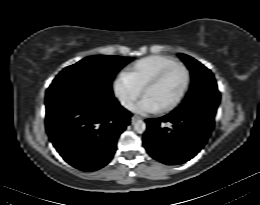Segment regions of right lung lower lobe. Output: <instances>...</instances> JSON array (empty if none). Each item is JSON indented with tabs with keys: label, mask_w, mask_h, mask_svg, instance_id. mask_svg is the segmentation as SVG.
Here are the masks:
<instances>
[{
	"label": "right lung lower lobe",
	"mask_w": 260,
	"mask_h": 205,
	"mask_svg": "<svg viewBox=\"0 0 260 205\" xmlns=\"http://www.w3.org/2000/svg\"><path fill=\"white\" fill-rule=\"evenodd\" d=\"M45 103L49 139L66 162L91 172L112 159L131 117L114 97L61 84L49 87Z\"/></svg>",
	"instance_id": "obj_1"
}]
</instances>
